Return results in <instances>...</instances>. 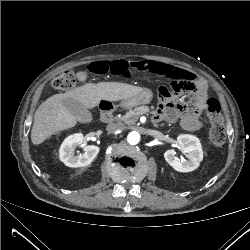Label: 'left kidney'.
<instances>
[{
	"mask_svg": "<svg viewBox=\"0 0 250 250\" xmlns=\"http://www.w3.org/2000/svg\"><path fill=\"white\" fill-rule=\"evenodd\" d=\"M180 150L187 154L188 160L178 159L174 149L167 150L164 158L168 164L178 172H191L197 169L203 160V151L200 140L190 134H181L177 137Z\"/></svg>",
	"mask_w": 250,
	"mask_h": 250,
	"instance_id": "left-kidney-1",
	"label": "left kidney"
}]
</instances>
